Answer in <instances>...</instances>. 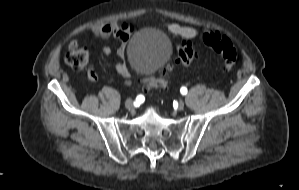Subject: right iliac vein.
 <instances>
[{
  "label": "right iliac vein",
  "mask_w": 299,
  "mask_h": 190,
  "mask_svg": "<svg viewBox=\"0 0 299 190\" xmlns=\"http://www.w3.org/2000/svg\"><path fill=\"white\" fill-rule=\"evenodd\" d=\"M125 106H126V108H128V109H132V108H133V101H132L131 99H127V100L125 101Z\"/></svg>",
  "instance_id": "1"
}]
</instances>
